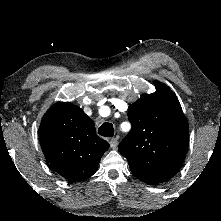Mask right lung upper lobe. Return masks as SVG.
I'll list each match as a JSON object with an SVG mask.
<instances>
[{
  "label": "right lung upper lobe",
  "instance_id": "cb5924a9",
  "mask_svg": "<svg viewBox=\"0 0 221 221\" xmlns=\"http://www.w3.org/2000/svg\"><path fill=\"white\" fill-rule=\"evenodd\" d=\"M39 139L51 168L70 181L92 176L109 148L90 117L70 102H59L45 113Z\"/></svg>",
  "mask_w": 221,
  "mask_h": 221
}]
</instances>
